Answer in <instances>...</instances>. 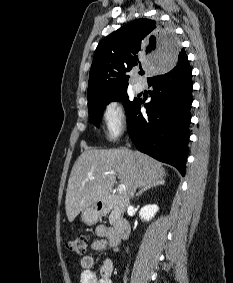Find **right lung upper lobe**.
<instances>
[{"mask_svg":"<svg viewBox=\"0 0 233 283\" xmlns=\"http://www.w3.org/2000/svg\"><path fill=\"white\" fill-rule=\"evenodd\" d=\"M185 55L187 50L180 49L172 29L160 22L141 18L126 24L96 48L89 74L88 106L127 90L130 70H171V65Z\"/></svg>","mask_w":233,"mask_h":283,"instance_id":"1","label":"right lung upper lobe"}]
</instances>
